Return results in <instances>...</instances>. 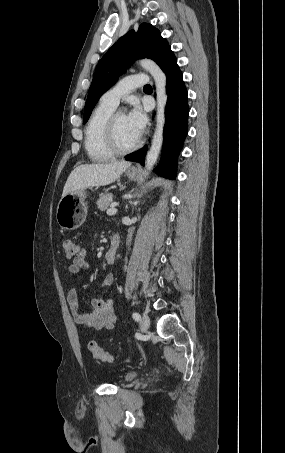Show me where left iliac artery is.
I'll list each match as a JSON object with an SVG mask.
<instances>
[{
  "instance_id": "left-iliac-artery-1",
  "label": "left iliac artery",
  "mask_w": 285,
  "mask_h": 453,
  "mask_svg": "<svg viewBox=\"0 0 285 453\" xmlns=\"http://www.w3.org/2000/svg\"><path fill=\"white\" fill-rule=\"evenodd\" d=\"M132 317H133V319H134L135 321H139V320H140V315H139V313H137V312L133 313V314H132Z\"/></svg>"
}]
</instances>
